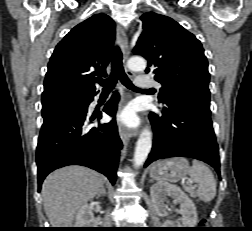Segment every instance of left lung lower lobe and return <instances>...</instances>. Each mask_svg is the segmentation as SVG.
Here are the masks:
<instances>
[{
    "instance_id": "left-lung-lower-lobe-1",
    "label": "left lung lower lobe",
    "mask_w": 252,
    "mask_h": 231,
    "mask_svg": "<svg viewBox=\"0 0 252 231\" xmlns=\"http://www.w3.org/2000/svg\"><path fill=\"white\" fill-rule=\"evenodd\" d=\"M209 103V94L185 89L165 99L161 117L151 112L154 141L144 166L163 158L191 157L214 167L220 177L219 149Z\"/></svg>"
}]
</instances>
